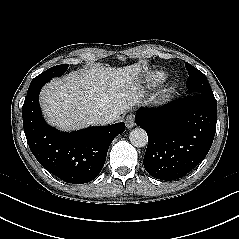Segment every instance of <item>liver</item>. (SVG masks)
<instances>
[{"label":"liver","mask_w":239,"mask_h":239,"mask_svg":"<svg viewBox=\"0 0 239 239\" xmlns=\"http://www.w3.org/2000/svg\"><path fill=\"white\" fill-rule=\"evenodd\" d=\"M139 64L105 68L96 64L53 79L40 92V105L48 123L63 130L97 125L99 114L115 120L140 102Z\"/></svg>","instance_id":"1"}]
</instances>
